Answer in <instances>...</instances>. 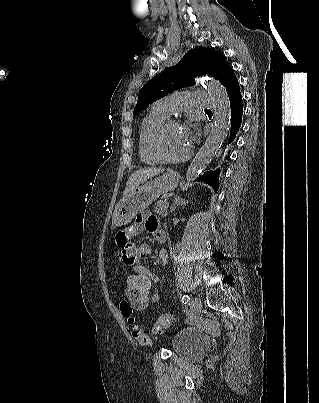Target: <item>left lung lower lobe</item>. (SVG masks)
<instances>
[{
    "instance_id": "1",
    "label": "left lung lower lobe",
    "mask_w": 319,
    "mask_h": 403,
    "mask_svg": "<svg viewBox=\"0 0 319 403\" xmlns=\"http://www.w3.org/2000/svg\"><path fill=\"white\" fill-rule=\"evenodd\" d=\"M220 83L226 88L230 100L231 131L228 142L231 143L235 139L236 133L240 128L243 114L242 96L239 90V83L231 66H228L226 70L223 72L220 78ZM219 173H220L219 169H216L215 171L206 172L203 176H200L197 180L203 181L206 184L211 185L214 188V190H218Z\"/></svg>"
}]
</instances>
